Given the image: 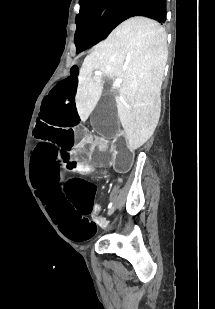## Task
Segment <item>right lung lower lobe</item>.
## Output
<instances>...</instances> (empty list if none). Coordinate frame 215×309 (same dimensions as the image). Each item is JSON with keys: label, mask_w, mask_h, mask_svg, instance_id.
Listing matches in <instances>:
<instances>
[{"label": "right lung lower lobe", "mask_w": 215, "mask_h": 309, "mask_svg": "<svg viewBox=\"0 0 215 309\" xmlns=\"http://www.w3.org/2000/svg\"><path fill=\"white\" fill-rule=\"evenodd\" d=\"M134 16H145L163 23L166 21V0H131L115 23V27Z\"/></svg>", "instance_id": "right-lung-lower-lobe-1"}]
</instances>
